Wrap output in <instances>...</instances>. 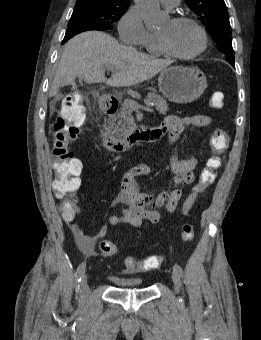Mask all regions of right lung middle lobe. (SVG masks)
Segmentation results:
<instances>
[{
	"mask_svg": "<svg viewBox=\"0 0 261 340\" xmlns=\"http://www.w3.org/2000/svg\"><path fill=\"white\" fill-rule=\"evenodd\" d=\"M127 6L96 2L76 3L68 27L88 26L99 31L112 29L113 23L127 11Z\"/></svg>",
	"mask_w": 261,
	"mask_h": 340,
	"instance_id": "right-lung-middle-lobe-1",
	"label": "right lung middle lobe"
}]
</instances>
